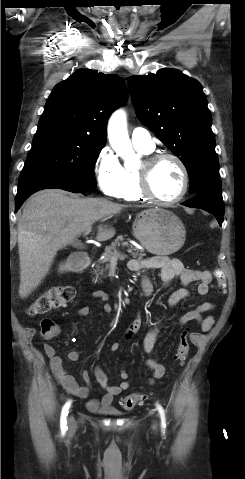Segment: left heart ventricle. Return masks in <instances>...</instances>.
<instances>
[{"label": "left heart ventricle", "mask_w": 245, "mask_h": 479, "mask_svg": "<svg viewBox=\"0 0 245 479\" xmlns=\"http://www.w3.org/2000/svg\"><path fill=\"white\" fill-rule=\"evenodd\" d=\"M151 187L163 200L175 198L182 188V174L179 166L170 159L160 161L152 172Z\"/></svg>", "instance_id": "left-heart-ventricle-1"}]
</instances>
